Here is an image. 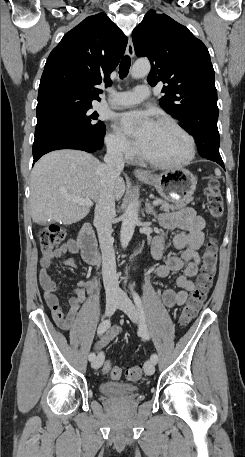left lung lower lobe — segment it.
I'll list each match as a JSON object with an SVG mask.
<instances>
[{
    "label": "left lung lower lobe",
    "instance_id": "left-lung-lower-lobe-1",
    "mask_svg": "<svg viewBox=\"0 0 245 457\" xmlns=\"http://www.w3.org/2000/svg\"><path fill=\"white\" fill-rule=\"evenodd\" d=\"M183 129L194 136L201 157L214 161L224 168L219 153L220 136L217 120L202 117L196 124H188Z\"/></svg>",
    "mask_w": 245,
    "mask_h": 457
}]
</instances>
